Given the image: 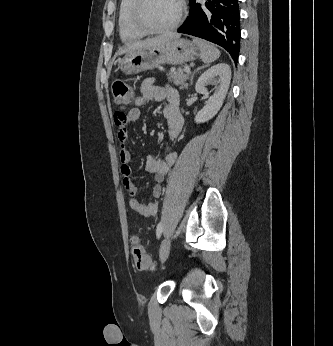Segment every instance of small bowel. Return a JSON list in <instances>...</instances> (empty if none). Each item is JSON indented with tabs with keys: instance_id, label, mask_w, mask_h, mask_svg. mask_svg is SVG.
<instances>
[{
	"instance_id": "obj_1",
	"label": "small bowel",
	"mask_w": 333,
	"mask_h": 346,
	"mask_svg": "<svg viewBox=\"0 0 333 346\" xmlns=\"http://www.w3.org/2000/svg\"><path fill=\"white\" fill-rule=\"evenodd\" d=\"M153 100L165 101L163 113L168 121L169 136L171 139L176 138L183 124L179 94L177 90L171 86L157 85L153 78L146 79L142 83L140 95L134 98V107L128 111L125 118L122 119L119 115L115 117L117 138L121 143L119 157L121 161L123 184L131 196L129 205L132 210L145 217H151L157 213L158 203L154 200L147 204H143L136 198L138 188L133 181L131 153L126 147L128 131L125 124L136 122L140 117L139 108ZM176 157L177 155L175 152L167 154L164 159L154 156L147 157L145 169L154 177V185L152 188V195L154 198H159L161 196L163 192L162 183L168 172L169 166L175 162Z\"/></svg>"
}]
</instances>
